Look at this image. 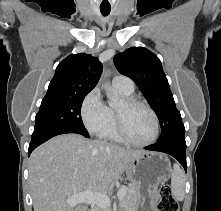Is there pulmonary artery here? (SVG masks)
Returning a JSON list of instances; mask_svg holds the SVG:
<instances>
[{
  "instance_id": "e3ab8cb5",
  "label": "pulmonary artery",
  "mask_w": 221,
  "mask_h": 211,
  "mask_svg": "<svg viewBox=\"0 0 221 211\" xmlns=\"http://www.w3.org/2000/svg\"><path fill=\"white\" fill-rule=\"evenodd\" d=\"M112 83L115 88L126 91L133 92L134 91V83L133 81L124 75H117L113 78Z\"/></svg>"
}]
</instances>
